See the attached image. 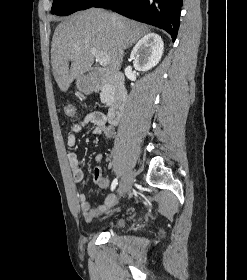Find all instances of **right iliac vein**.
Listing matches in <instances>:
<instances>
[{
  "label": "right iliac vein",
  "mask_w": 247,
  "mask_h": 280,
  "mask_svg": "<svg viewBox=\"0 0 247 280\" xmlns=\"http://www.w3.org/2000/svg\"><path fill=\"white\" fill-rule=\"evenodd\" d=\"M134 177L135 174L132 171L126 173L118 188V192L120 195H124L126 192H128L131 189L134 181Z\"/></svg>",
  "instance_id": "obj_1"
}]
</instances>
